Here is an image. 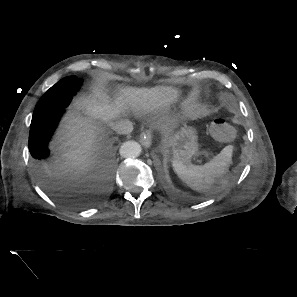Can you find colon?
<instances>
[{
    "label": "colon",
    "mask_w": 297,
    "mask_h": 297,
    "mask_svg": "<svg viewBox=\"0 0 297 297\" xmlns=\"http://www.w3.org/2000/svg\"><path fill=\"white\" fill-rule=\"evenodd\" d=\"M212 134L220 140H228L233 136V128L224 119L214 121L211 126Z\"/></svg>",
    "instance_id": "colon-1"
}]
</instances>
